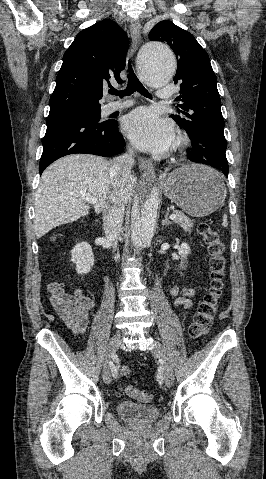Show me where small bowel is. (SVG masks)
I'll use <instances>...</instances> for the list:
<instances>
[{
  "label": "small bowel",
  "instance_id": "1",
  "mask_svg": "<svg viewBox=\"0 0 266 479\" xmlns=\"http://www.w3.org/2000/svg\"><path fill=\"white\" fill-rule=\"evenodd\" d=\"M47 291L52 308L71 330L76 334L85 333L89 327L91 311L95 308L94 300L80 289L67 293L59 282L49 283ZM170 293L176 307L187 309L191 306L193 289L173 286Z\"/></svg>",
  "mask_w": 266,
  "mask_h": 479
}]
</instances>
